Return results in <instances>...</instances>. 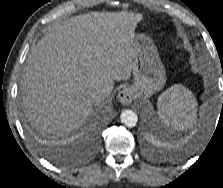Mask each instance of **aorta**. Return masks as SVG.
<instances>
[{"label": "aorta", "instance_id": "762f6f07", "mask_svg": "<svg viewBox=\"0 0 223 188\" xmlns=\"http://www.w3.org/2000/svg\"><path fill=\"white\" fill-rule=\"evenodd\" d=\"M120 119L127 127H134L137 124L138 116L132 110H124L120 115Z\"/></svg>", "mask_w": 223, "mask_h": 188}]
</instances>
